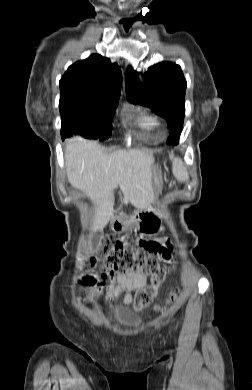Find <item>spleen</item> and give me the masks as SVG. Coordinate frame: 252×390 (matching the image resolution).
I'll use <instances>...</instances> for the list:
<instances>
[{"instance_id": "1", "label": "spleen", "mask_w": 252, "mask_h": 390, "mask_svg": "<svg viewBox=\"0 0 252 390\" xmlns=\"http://www.w3.org/2000/svg\"><path fill=\"white\" fill-rule=\"evenodd\" d=\"M173 174L180 182L187 181L189 179L188 172L179 158H176L173 162Z\"/></svg>"}]
</instances>
